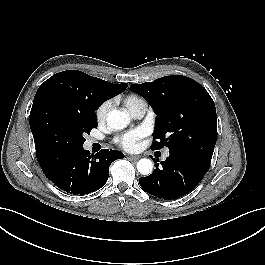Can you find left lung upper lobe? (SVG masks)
<instances>
[{
  "instance_id": "left-lung-upper-lobe-1",
  "label": "left lung upper lobe",
  "mask_w": 265,
  "mask_h": 265,
  "mask_svg": "<svg viewBox=\"0 0 265 265\" xmlns=\"http://www.w3.org/2000/svg\"><path fill=\"white\" fill-rule=\"evenodd\" d=\"M157 114L152 150L164 146L172 156L194 158L210 166L217 141L215 104L206 89L181 75L165 76L153 82L133 84Z\"/></svg>"
}]
</instances>
